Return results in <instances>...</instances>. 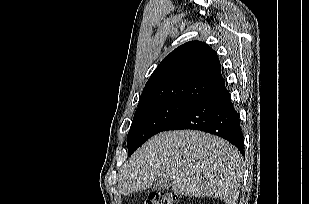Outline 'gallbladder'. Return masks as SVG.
Returning a JSON list of instances; mask_svg holds the SVG:
<instances>
[{
  "instance_id": "gallbladder-1",
  "label": "gallbladder",
  "mask_w": 309,
  "mask_h": 204,
  "mask_svg": "<svg viewBox=\"0 0 309 204\" xmlns=\"http://www.w3.org/2000/svg\"><path fill=\"white\" fill-rule=\"evenodd\" d=\"M171 187V180L165 176H158L153 185L152 190L162 191Z\"/></svg>"
}]
</instances>
